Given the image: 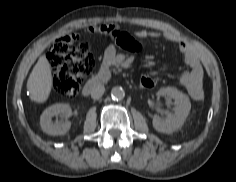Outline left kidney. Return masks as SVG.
Masks as SVG:
<instances>
[{
  "mask_svg": "<svg viewBox=\"0 0 236 182\" xmlns=\"http://www.w3.org/2000/svg\"><path fill=\"white\" fill-rule=\"evenodd\" d=\"M157 97H167L174 100V113L165 119L154 116L152 122L156 131L170 134L184 124L191 109L190 100L187 95L173 87L161 88L157 92Z\"/></svg>",
  "mask_w": 236,
  "mask_h": 182,
  "instance_id": "5707ae66",
  "label": "left kidney"
}]
</instances>
